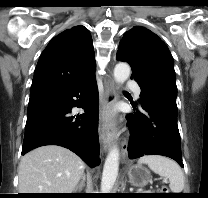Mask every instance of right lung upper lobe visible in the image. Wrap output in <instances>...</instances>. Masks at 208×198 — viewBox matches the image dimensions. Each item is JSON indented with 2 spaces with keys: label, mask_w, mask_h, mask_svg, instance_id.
Here are the masks:
<instances>
[{
  "label": "right lung upper lobe",
  "mask_w": 208,
  "mask_h": 198,
  "mask_svg": "<svg viewBox=\"0 0 208 198\" xmlns=\"http://www.w3.org/2000/svg\"><path fill=\"white\" fill-rule=\"evenodd\" d=\"M91 35L74 26L55 36L41 54L32 81L30 101L65 93L94 74Z\"/></svg>",
  "instance_id": "right-lung-upper-lobe-1"
}]
</instances>
